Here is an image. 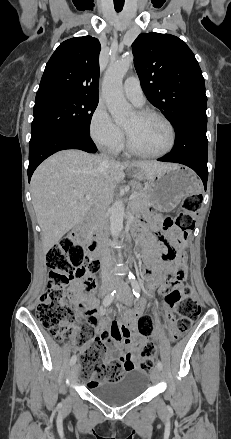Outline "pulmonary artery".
I'll list each match as a JSON object with an SVG mask.
<instances>
[{
    "label": "pulmonary artery",
    "instance_id": "e3ab8cb5",
    "mask_svg": "<svg viewBox=\"0 0 231 439\" xmlns=\"http://www.w3.org/2000/svg\"><path fill=\"white\" fill-rule=\"evenodd\" d=\"M123 90L126 97L137 107L144 104L145 98L138 78L135 76L125 79L123 84Z\"/></svg>",
    "mask_w": 231,
    "mask_h": 439
}]
</instances>
